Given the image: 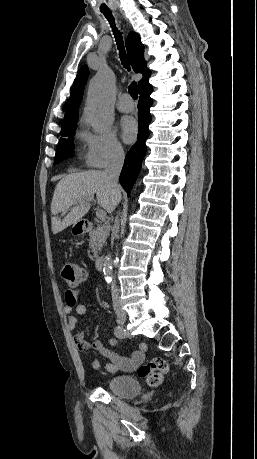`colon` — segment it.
Returning a JSON list of instances; mask_svg holds the SVG:
<instances>
[{"instance_id": "5ec220e1", "label": "colon", "mask_w": 257, "mask_h": 459, "mask_svg": "<svg viewBox=\"0 0 257 459\" xmlns=\"http://www.w3.org/2000/svg\"><path fill=\"white\" fill-rule=\"evenodd\" d=\"M60 273L68 285H77L85 278L84 270L72 262H64ZM170 372L168 362L162 358H152L146 364L137 368V375L145 379L149 386L155 387L161 384L163 376Z\"/></svg>"}]
</instances>
